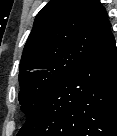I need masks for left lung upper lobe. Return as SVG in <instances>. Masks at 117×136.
Wrapping results in <instances>:
<instances>
[{"instance_id":"left-lung-upper-lobe-1","label":"left lung upper lobe","mask_w":117,"mask_h":136,"mask_svg":"<svg viewBox=\"0 0 117 136\" xmlns=\"http://www.w3.org/2000/svg\"><path fill=\"white\" fill-rule=\"evenodd\" d=\"M110 32L99 0H51L46 4L35 18L19 66L21 110L30 115Z\"/></svg>"}]
</instances>
